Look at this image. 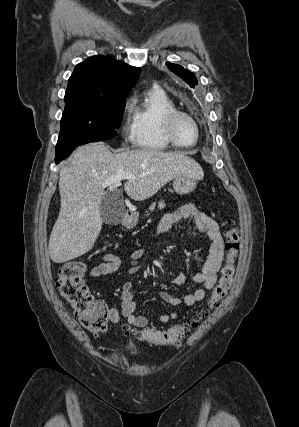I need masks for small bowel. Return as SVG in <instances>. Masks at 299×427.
<instances>
[{"instance_id": "small-bowel-1", "label": "small bowel", "mask_w": 299, "mask_h": 427, "mask_svg": "<svg viewBox=\"0 0 299 427\" xmlns=\"http://www.w3.org/2000/svg\"><path fill=\"white\" fill-rule=\"evenodd\" d=\"M184 221L193 222L196 230L209 238L210 249L203 263L201 272L193 277V280L200 284L202 288L187 294L183 298L176 297L172 293L166 291L160 293L162 300L173 307L180 305L191 307L202 301L205 298L206 290H211L216 284L218 273L224 260V243L218 224L193 204H184L176 210L166 214L159 225V232L164 234L169 231L173 225ZM143 253V250H137L132 253L128 267V272L130 274L138 270L139 261ZM120 267V259L113 254H107L104 257V262L94 267L90 275L97 277L111 274L119 270ZM185 280L186 278L183 274H178L174 278V282L179 285L184 284ZM131 289L132 282L127 281L123 283L121 288V311L119 312L115 308H110L108 310V319L112 323H118L121 318H125L130 325L143 328L147 326L150 318L136 314V303L133 300ZM178 318L179 312L176 310L167 314H161L157 317L158 321L162 323Z\"/></svg>"}]
</instances>
